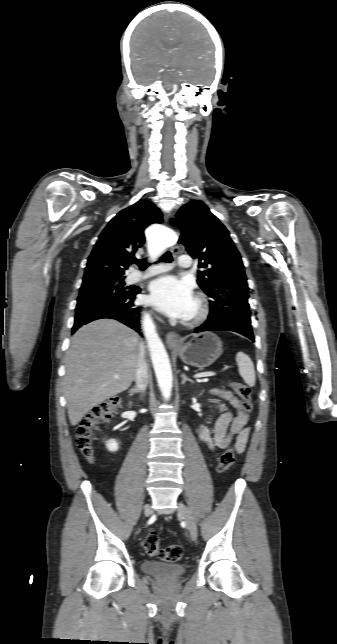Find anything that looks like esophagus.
<instances>
[{
  "mask_svg": "<svg viewBox=\"0 0 337 644\" xmlns=\"http://www.w3.org/2000/svg\"><path fill=\"white\" fill-rule=\"evenodd\" d=\"M165 217H166V219H168L169 215L167 214ZM170 251L174 255H176L178 253L179 249H178L177 246H174V247H172L170 249ZM166 342H167V344L169 346H177V345L181 344V338H180L178 333H176L174 331H170L166 336Z\"/></svg>",
  "mask_w": 337,
  "mask_h": 644,
  "instance_id": "1",
  "label": "esophagus"
}]
</instances>
